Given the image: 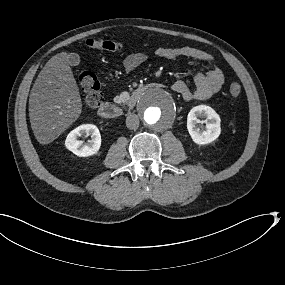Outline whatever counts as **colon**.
<instances>
[{
  "label": "colon",
  "mask_w": 285,
  "mask_h": 285,
  "mask_svg": "<svg viewBox=\"0 0 285 285\" xmlns=\"http://www.w3.org/2000/svg\"><path fill=\"white\" fill-rule=\"evenodd\" d=\"M86 46L91 49L106 51H120L124 44L113 40L88 39ZM78 83L81 88L84 103L90 108H97L103 102V95L96 75L90 71H81L78 75ZM228 93L232 97H237L241 93V86L238 83H231Z\"/></svg>",
  "instance_id": "1"
}]
</instances>
